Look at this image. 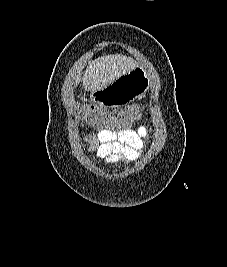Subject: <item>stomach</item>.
I'll return each instance as SVG.
<instances>
[{"label":"stomach","mask_w":227,"mask_h":267,"mask_svg":"<svg viewBox=\"0 0 227 267\" xmlns=\"http://www.w3.org/2000/svg\"><path fill=\"white\" fill-rule=\"evenodd\" d=\"M149 73H144V68H132L129 73H123V77H113V82H108V87H97V91H91L88 104H103V107H127V104H135L137 96H144Z\"/></svg>","instance_id":"stomach-1"}]
</instances>
